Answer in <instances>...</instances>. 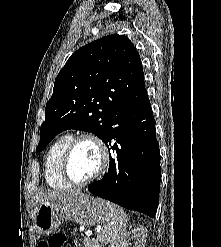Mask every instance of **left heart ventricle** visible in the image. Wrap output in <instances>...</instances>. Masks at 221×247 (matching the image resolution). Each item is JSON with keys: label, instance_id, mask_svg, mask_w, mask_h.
I'll list each match as a JSON object with an SVG mask.
<instances>
[{"label": "left heart ventricle", "instance_id": "1", "mask_svg": "<svg viewBox=\"0 0 221 247\" xmlns=\"http://www.w3.org/2000/svg\"><path fill=\"white\" fill-rule=\"evenodd\" d=\"M100 156L97 147L89 142H80L69 161V173L75 181H84L99 168Z\"/></svg>", "mask_w": 221, "mask_h": 247}]
</instances>
